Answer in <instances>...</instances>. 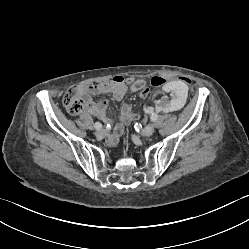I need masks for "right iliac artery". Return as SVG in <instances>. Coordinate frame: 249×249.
Listing matches in <instances>:
<instances>
[{
  "label": "right iliac artery",
  "instance_id": "82829eb1",
  "mask_svg": "<svg viewBox=\"0 0 249 249\" xmlns=\"http://www.w3.org/2000/svg\"><path fill=\"white\" fill-rule=\"evenodd\" d=\"M94 127L96 129H101L102 128V124L100 122H96L95 125H94Z\"/></svg>",
  "mask_w": 249,
  "mask_h": 249
}]
</instances>
